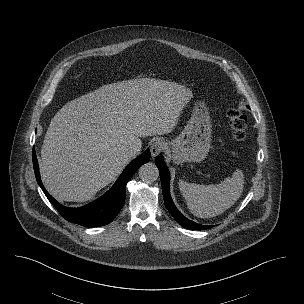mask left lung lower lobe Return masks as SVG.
Returning a JSON list of instances; mask_svg holds the SVG:
<instances>
[{"instance_id":"1","label":"left lung lower lobe","mask_w":304,"mask_h":304,"mask_svg":"<svg viewBox=\"0 0 304 304\" xmlns=\"http://www.w3.org/2000/svg\"><path fill=\"white\" fill-rule=\"evenodd\" d=\"M155 163L159 169L164 203H165V206H166L167 210L169 211V213L175 218V220L181 226H183L187 229L204 230V229L210 228L211 226L195 223V222L185 218L181 214V212L174 205L172 198L170 196V189H169L170 173H169L168 168L165 165L163 158L161 156H157L155 159Z\"/></svg>"}]
</instances>
